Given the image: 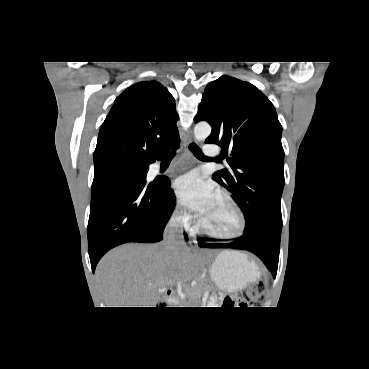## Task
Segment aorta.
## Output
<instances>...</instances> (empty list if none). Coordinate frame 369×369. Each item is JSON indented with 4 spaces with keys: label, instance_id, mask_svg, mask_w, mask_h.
Wrapping results in <instances>:
<instances>
[{
    "label": "aorta",
    "instance_id": "obj_1",
    "mask_svg": "<svg viewBox=\"0 0 369 369\" xmlns=\"http://www.w3.org/2000/svg\"><path fill=\"white\" fill-rule=\"evenodd\" d=\"M211 133V126L206 122L196 124L194 128V137L198 141L205 140Z\"/></svg>",
    "mask_w": 369,
    "mask_h": 369
}]
</instances>
